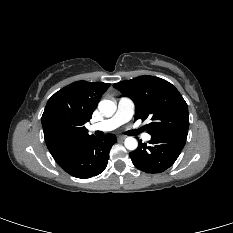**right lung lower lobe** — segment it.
<instances>
[{"instance_id":"obj_1","label":"right lung lower lobe","mask_w":233,"mask_h":233,"mask_svg":"<svg viewBox=\"0 0 233 233\" xmlns=\"http://www.w3.org/2000/svg\"><path fill=\"white\" fill-rule=\"evenodd\" d=\"M116 142L114 134H107L103 137L94 136L58 165L77 178L84 179L99 175L106 168L109 151Z\"/></svg>"}]
</instances>
